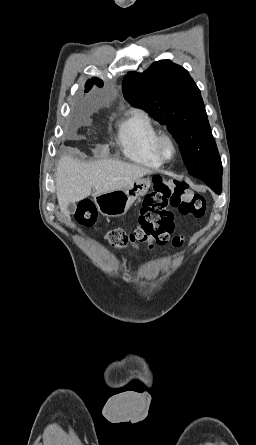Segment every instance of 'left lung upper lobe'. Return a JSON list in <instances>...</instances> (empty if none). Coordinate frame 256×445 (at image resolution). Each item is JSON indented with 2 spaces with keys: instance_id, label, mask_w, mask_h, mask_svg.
Instances as JSON below:
<instances>
[{
  "instance_id": "5c2ea615",
  "label": "left lung upper lobe",
  "mask_w": 256,
  "mask_h": 445,
  "mask_svg": "<svg viewBox=\"0 0 256 445\" xmlns=\"http://www.w3.org/2000/svg\"><path fill=\"white\" fill-rule=\"evenodd\" d=\"M122 87L131 105L167 126L189 172H222L200 90L186 69L161 60L143 73L129 72Z\"/></svg>"
}]
</instances>
